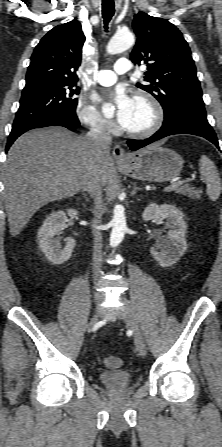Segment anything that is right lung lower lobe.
I'll use <instances>...</instances> for the list:
<instances>
[{"instance_id":"obj_1","label":"right lung lower lobe","mask_w":222,"mask_h":447,"mask_svg":"<svg viewBox=\"0 0 222 447\" xmlns=\"http://www.w3.org/2000/svg\"><path fill=\"white\" fill-rule=\"evenodd\" d=\"M79 125L80 123L76 116V113L63 112L53 114L39 120H34L21 125L13 126L7 141L6 151L21 134L30 129L47 126H63L68 128L69 130L74 131L79 127Z\"/></svg>"}]
</instances>
